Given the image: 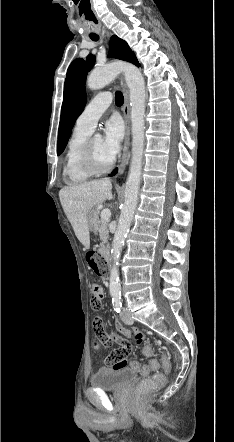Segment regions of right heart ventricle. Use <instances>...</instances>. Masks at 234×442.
<instances>
[{"mask_svg": "<svg viewBox=\"0 0 234 442\" xmlns=\"http://www.w3.org/2000/svg\"><path fill=\"white\" fill-rule=\"evenodd\" d=\"M89 136V132L74 128L69 138L63 168V175L69 184H83L93 176L81 163L82 151Z\"/></svg>", "mask_w": 234, "mask_h": 442, "instance_id": "e07e8e85", "label": "right heart ventricle"}]
</instances>
